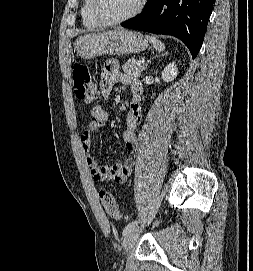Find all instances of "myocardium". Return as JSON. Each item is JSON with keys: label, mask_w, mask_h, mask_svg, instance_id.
<instances>
[{"label": "myocardium", "mask_w": 253, "mask_h": 271, "mask_svg": "<svg viewBox=\"0 0 253 271\" xmlns=\"http://www.w3.org/2000/svg\"><path fill=\"white\" fill-rule=\"evenodd\" d=\"M146 3H147V0H139L137 6L129 14L121 18L113 19V20L106 19L102 16L99 10V0H92L91 10H92V14L94 18L96 19L98 23L104 26H114V25H118L120 23L126 22L136 17L137 15H139L143 11Z\"/></svg>", "instance_id": "1"}]
</instances>
